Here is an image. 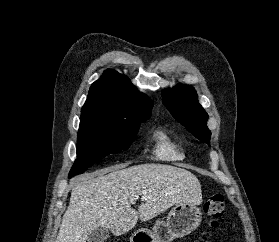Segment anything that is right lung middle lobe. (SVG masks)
<instances>
[{"label": "right lung middle lobe", "mask_w": 279, "mask_h": 242, "mask_svg": "<svg viewBox=\"0 0 279 242\" xmlns=\"http://www.w3.org/2000/svg\"><path fill=\"white\" fill-rule=\"evenodd\" d=\"M139 126L140 123L122 124L100 118H81L77 159L70 170L69 178L83 173L106 155L128 149Z\"/></svg>", "instance_id": "obj_1"}]
</instances>
